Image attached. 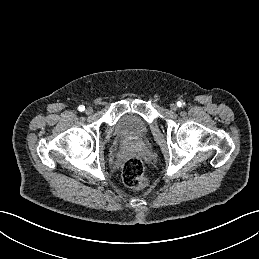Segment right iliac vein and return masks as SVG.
I'll list each match as a JSON object with an SVG mask.
<instances>
[{
    "mask_svg": "<svg viewBox=\"0 0 259 259\" xmlns=\"http://www.w3.org/2000/svg\"><path fill=\"white\" fill-rule=\"evenodd\" d=\"M85 112L87 115H90V114H92L93 109L91 107H88Z\"/></svg>",
    "mask_w": 259,
    "mask_h": 259,
    "instance_id": "right-iliac-vein-1",
    "label": "right iliac vein"
}]
</instances>
